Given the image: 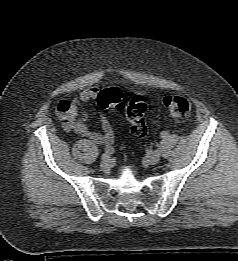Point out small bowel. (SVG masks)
<instances>
[{"label":"small bowel","mask_w":238,"mask_h":261,"mask_svg":"<svg viewBox=\"0 0 238 261\" xmlns=\"http://www.w3.org/2000/svg\"><path fill=\"white\" fill-rule=\"evenodd\" d=\"M100 92L101 90L97 88H88L70 101H60L57 106V114L66 131H73L96 144L109 146L114 141V131L106 115H100L102 133L93 131L88 127L86 123L87 114L83 113L82 117L79 118L82 105L97 100Z\"/></svg>","instance_id":"obj_1"}]
</instances>
